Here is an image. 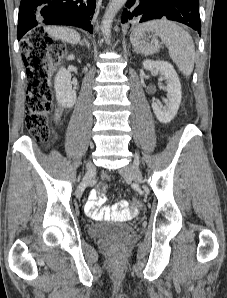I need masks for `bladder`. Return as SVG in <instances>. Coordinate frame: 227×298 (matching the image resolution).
I'll return each instance as SVG.
<instances>
[{"mask_svg": "<svg viewBox=\"0 0 227 298\" xmlns=\"http://www.w3.org/2000/svg\"><path fill=\"white\" fill-rule=\"evenodd\" d=\"M133 230V226L120 222L96 223L88 228V234L92 238H119L128 235Z\"/></svg>", "mask_w": 227, "mask_h": 298, "instance_id": "obj_1", "label": "bladder"}]
</instances>
